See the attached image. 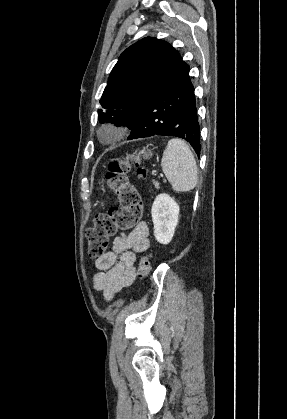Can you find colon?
Here are the masks:
<instances>
[{
	"label": "colon",
	"mask_w": 287,
	"mask_h": 419,
	"mask_svg": "<svg viewBox=\"0 0 287 419\" xmlns=\"http://www.w3.org/2000/svg\"><path fill=\"white\" fill-rule=\"evenodd\" d=\"M138 177L146 176V169L136 166ZM128 165L122 161L110 163L107 172L109 187L116 193L120 207L111 208L106 213L96 214L93 226L86 232L88 240V253L91 258L97 259L107 252L108 241L118 230H127L135 227L142 216V200L138 191L129 182ZM151 271V259L143 256L138 264V275L146 277Z\"/></svg>",
	"instance_id": "colon-1"
}]
</instances>
